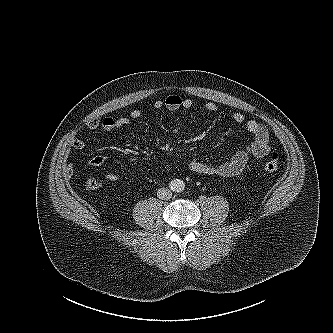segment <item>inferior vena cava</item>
Segmentation results:
<instances>
[{"mask_svg": "<svg viewBox=\"0 0 333 333\" xmlns=\"http://www.w3.org/2000/svg\"><path fill=\"white\" fill-rule=\"evenodd\" d=\"M157 196L161 200H168L172 197V192H171V190H169L167 188H160L157 191Z\"/></svg>", "mask_w": 333, "mask_h": 333, "instance_id": "obj_1", "label": "inferior vena cava"}]
</instances>
